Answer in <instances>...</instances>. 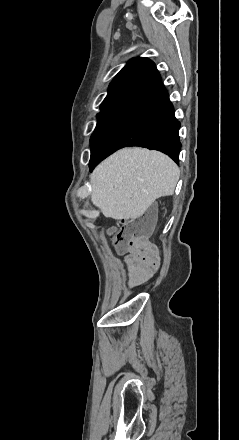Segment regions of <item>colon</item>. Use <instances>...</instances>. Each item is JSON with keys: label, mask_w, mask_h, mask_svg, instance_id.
<instances>
[{"label": "colon", "mask_w": 239, "mask_h": 440, "mask_svg": "<svg viewBox=\"0 0 239 440\" xmlns=\"http://www.w3.org/2000/svg\"><path fill=\"white\" fill-rule=\"evenodd\" d=\"M144 232L136 222H124L121 229L113 235L116 250L123 252L130 247L142 246L145 243Z\"/></svg>", "instance_id": "5ec220e1"}]
</instances>
